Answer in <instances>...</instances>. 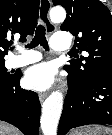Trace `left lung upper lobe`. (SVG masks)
<instances>
[{
  "label": "left lung upper lobe",
  "mask_w": 112,
  "mask_h": 135,
  "mask_svg": "<svg viewBox=\"0 0 112 135\" xmlns=\"http://www.w3.org/2000/svg\"><path fill=\"white\" fill-rule=\"evenodd\" d=\"M53 4L67 11L61 30L76 37V52L89 53L88 57L70 60L64 68L82 81L112 73V15L109 9L99 0H53Z\"/></svg>",
  "instance_id": "left-lung-upper-lobe-1"
}]
</instances>
